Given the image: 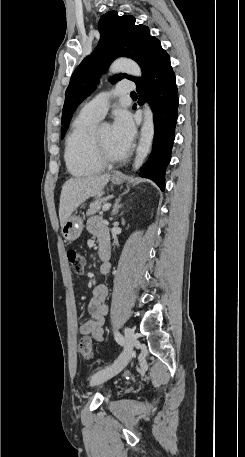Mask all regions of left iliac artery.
<instances>
[{"mask_svg": "<svg viewBox=\"0 0 245 457\" xmlns=\"http://www.w3.org/2000/svg\"><path fill=\"white\" fill-rule=\"evenodd\" d=\"M115 340L118 342V344L123 345L124 344V338L119 332H115Z\"/></svg>", "mask_w": 245, "mask_h": 457, "instance_id": "left-iliac-artery-1", "label": "left iliac artery"}]
</instances>
